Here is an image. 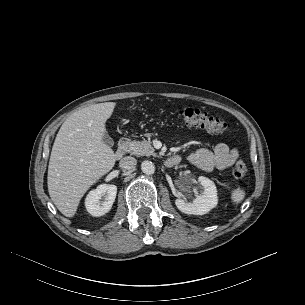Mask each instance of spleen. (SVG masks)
Instances as JSON below:
<instances>
[{
    "instance_id": "spleen-1",
    "label": "spleen",
    "mask_w": 305,
    "mask_h": 305,
    "mask_svg": "<svg viewBox=\"0 0 305 305\" xmlns=\"http://www.w3.org/2000/svg\"><path fill=\"white\" fill-rule=\"evenodd\" d=\"M244 198H245V191H244V189L237 188V189H234L232 191L231 199H232V202L234 204L241 203Z\"/></svg>"
}]
</instances>
